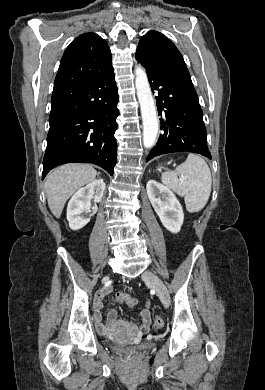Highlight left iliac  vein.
Wrapping results in <instances>:
<instances>
[{
    "instance_id": "1",
    "label": "left iliac vein",
    "mask_w": 265,
    "mask_h": 390,
    "mask_svg": "<svg viewBox=\"0 0 265 390\" xmlns=\"http://www.w3.org/2000/svg\"><path fill=\"white\" fill-rule=\"evenodd\" d=\"M142 279L144 282L151 284L162 301L165 307H168L170 304V296L168 290L164 283L150 270H146L142 274Z\"/></svg>"
}]
</instances>
